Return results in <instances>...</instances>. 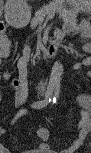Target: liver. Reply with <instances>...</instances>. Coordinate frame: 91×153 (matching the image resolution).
Masks as SVG:
<instances>
[{"instance_id":"1","label":"liver","mask_w":91,"mask_h":153,"mask_svg":"<svg viewBox=\"0 0 91 153\" xmlns=\"http://www.w3.org/2000/svg\"><path fill=\"white\" fill-rule=\"evenodd\" d=\"M61 1H58L57 3L60 4Z\"/></svg>"}]
</instances>
